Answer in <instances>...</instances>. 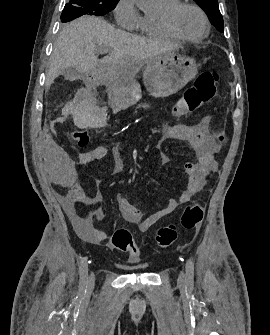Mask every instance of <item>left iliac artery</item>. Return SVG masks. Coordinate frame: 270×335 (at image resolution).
Returning a JSON list of instances; mask_svg holds the SVG:
<instances>
[{"instance_id":"obj_1","label":"left iliac artery","mask_w":270,"mask_h":335,"mask_svg":"<svg viewBox=\"0 0 270 335\" xmlns=\"http://www.w3.org/2000/svg\"><path fill=\"white\" fill-rule=\"evenodd\" d=\"M186 283L189 288L193 287L194 284V264L191 259L186 262Z\"/></svg>"}]
</instances>
